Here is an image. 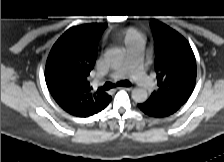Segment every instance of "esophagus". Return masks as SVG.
Here are the masks:
<instances>
[{"label": "esophagus", "mask_w": 224, "mask_h": 162, "mask_svg": "<svg viewBox=\"0 0 224 162\" xmlns=\"http://www.w3.org/2000/svg\"><path fill=\"white\" fill-rule=\"evenodd\" d=\"M117 89H125V90L130 91V90H132V87H118Z\"/></svg>", "instance_id": "esophagus-1"}]
</instances>
